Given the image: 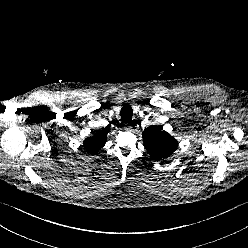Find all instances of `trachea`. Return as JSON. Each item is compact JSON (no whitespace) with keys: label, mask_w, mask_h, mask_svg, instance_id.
Listing matches in <instances>:
<instances>
[{"label":"trachea","mask_w":248,"mask_h":248,"mask_svg":"<svg viewBox=\"0 0 248 248\" xmlns=\"http://www.w3.org/2000/svg\"><path fill=\"white\" fill-rule=\"evenodd\" d=\"M120 115L124 122H130L133 116L132 107L129 104H125L120 111Z\"/></svg>","instance_id":"obj_1"}]
</instances>
